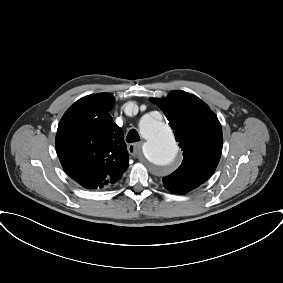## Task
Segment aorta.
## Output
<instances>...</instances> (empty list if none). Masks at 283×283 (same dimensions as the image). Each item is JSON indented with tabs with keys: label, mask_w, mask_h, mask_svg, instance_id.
Wrapping results in <instances>:
<instances>
[{
	"label": "aorta",
	"mask_w": 283,
	"mask_h": 283,
	"mask_svg": "<svg viewBox=\"0 0 283 283\" xmlns=\"http://www.w3.org/2000/svg\"><path fill=\"white\" fill-rule=\"evenodd\" d=\"M139 127L146 140L142 147L146 159L156 170H171L178 152L171 128L153 117L143 118Z\"/></svg>",
	"instance_id": "762f6f07"
}]
</instances>
